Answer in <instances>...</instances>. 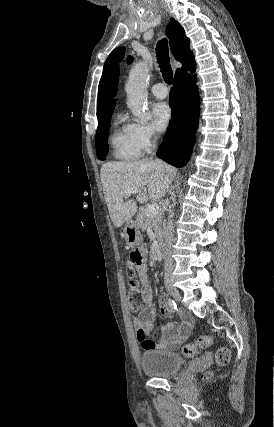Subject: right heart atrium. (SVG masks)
Instances as JSON below:
<instances>
[{
	"instance_id": "right-heart-atrium-1",
	"label": "right heart atrium",
	"mask_w": 274,
	"mask_h": 427,
	"mask_svg": "<svg viewBox=\"0 0 274 427\" xmlns=\"http://www.w3.org/2000/svg\"><path fill=\"white\" fill-rule=\"evenodd\" d=\"M134 139L141 151H150L156 143V135L152 128L144 124H133Z\"/></svg>"
}]
</instances>
